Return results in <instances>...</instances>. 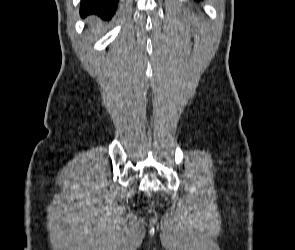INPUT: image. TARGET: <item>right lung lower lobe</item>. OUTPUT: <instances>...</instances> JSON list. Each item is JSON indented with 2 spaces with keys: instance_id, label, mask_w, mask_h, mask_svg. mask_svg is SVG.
<instances>
[{
  "instance_id": "obj_1",
  "label": "right lung lower lobe",
  "mask_w": 295,
  "mask_h": 250,
  "mask_svg": "<svg viewBox=\"0 0 295 250\" xmlns=\"http://www.w3.org/2000/svg\"><path fill=\"white\" fill-rule=\"evenodd\" d=\"M118 0H81L80 14H98L102 18L110 19L117 7Z\"/></svg>"
}]
</instances>
